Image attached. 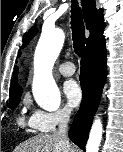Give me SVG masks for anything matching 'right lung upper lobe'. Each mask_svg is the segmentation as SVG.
Instances as JSON below:
<instances>
[{
  "label": "right lung upper lobe",
  "mask_w": 123,
  "mask_h": 152,
  "mask_svg": "<svg viewBox=\"0 0 123 152\" xmlns=\"http://www.w3.org/2000/svg\"><path fill=\"white\" fill-rule=\"evenodd\" d=\"M82 11L84 15V20L86 23V28L90 31L89 37L86 39V48H89L99 40L103 39V31L105 27L104 19H103V10L96 9L95 0H81ZM37 33V29L32 27L27 33V37L25 38L22 48H24L31 38H33ZM17 73L18 67L15 66L14 69V78L12 79L10 86V95L22 91L21 86L17 82Z\"/></svg>",
  "instance_id": "cb5924a9"
}]
</instances>
